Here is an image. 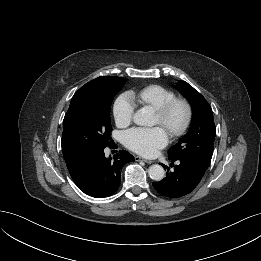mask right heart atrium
<instances>
[{
    "mask_svg": "<svg viewBox=\"0 0 261 261\" xmlns=\"http://www.w3.org/2000/svg\"><path fill=\"white\" fill-rule=\"evenodd\" d=\"M135 104L130 95L124 94L118 97L113 105V116L119 127L128 126L134 117Z\"/></svg>",
    "mask_w": 261,
    "mask_h": 261,
    "instance_id": "obj_1",
    "label": "right heart atrium"
}]
</instances>
